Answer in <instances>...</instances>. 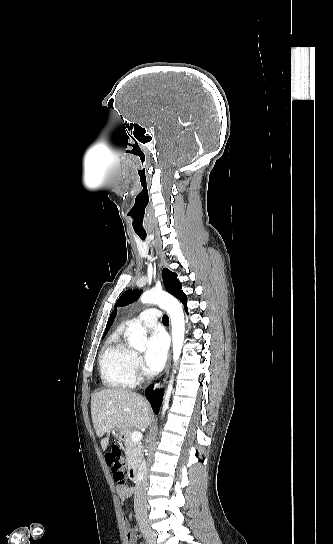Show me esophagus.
<instances>
[{
    "mask_svg": "<svg viewBox=\"0 0 333 544\" xmlns=\"http://www.w3.org/2000/svg\"><path fill=\"white\" fill-rule=\"evenodd\" d=\"M170 365H171V356H169V358H168V361H167L166 367L164 369V372L154 382V390L159 389L164 384V382L167 380L168 375H169Z\"/></svg>",
    "mask_w": 333,
    "mask_h": 544,
    "instance_id": "esophagus-1",
    "label": "esophagus"
}]
</instances>
